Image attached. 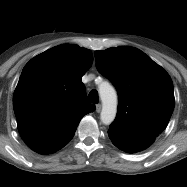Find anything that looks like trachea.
<instances>
[{
    "label": "trachea",
    "instance_id": "3493384b",
    "mask_svg": "<svg viewBox=\"0 0 187 187\" xmlns=\"http://www.w3.org/2000/svg\"><path fill=\"white\" fill-rule=\"evenodd\" d=\"M98 101H99L98 92L96 90H91L87 97V102L97 104Z\"/></svg>",
    "mask_w": 187,
    "mask_h": 187
}]
</instances>
